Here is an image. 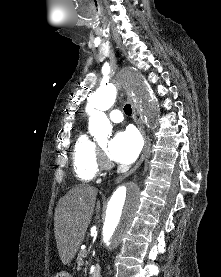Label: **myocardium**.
Listing matches in <instances>:
<instances>
[{
    "label": "myocardium",
    "mask_w": 221,
    "mask_h": 277,
    "mask_svg": "<svg viewBox=\"0 0 221 277\" xmlns=\"http://www.w3.org/2000/svg\"><path fill=\"white\" fill-rule=\"evenodd\" d=\"M98 161L102 168H110L111 167V163L108 160V158L106 157L103 148H101V147H98Z\"/></svg>",
    "instance_id": "myocardium-1"
}]
</instances>
